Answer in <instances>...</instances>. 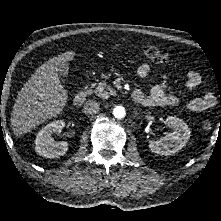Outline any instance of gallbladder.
<instances>
[{
	"label": "gallbladder",
	"instance_id": "bac80fb5",
	"mask_svg": "<svg viewBox=\"0 0 221 221\" xmlns=\"http://www.w3.org/2000/svg\"><path fill=\"white\" fill-rule=\"evenodd\" d=\"M68 71H69V67H68V64L67 63H62L60 64L59 66V71H58V75L61 77V78H64L68 75Z\"/></svg>",
	"mask_w": 221,
	"mask_h": 221
}]
</instances>
